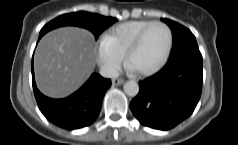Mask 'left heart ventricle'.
Returning a JSON list of instances; mask_svg holds the SVG:
<instances>
[{
    "instance_id": "1",
    "label": "left heart ventricle",
    "mask_w": 238,
    "mask_h": 145,
    "mask_svg": "<svg viewBox=\"0 0 238 145\" xmlns=\"http://www.w3.org/2000/svg\"><path fill=\"white\" fill-rule=\"evenodd\" d=\"M168 34L164 27L155 25L144 36L139 48L131 55L129 66L141 71L154 66L165 52Z\"/></svg>"
}]
</instances>
